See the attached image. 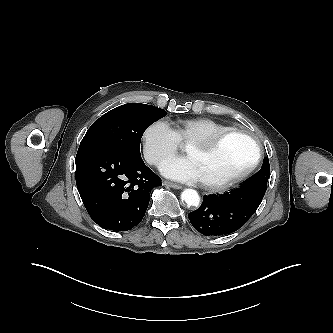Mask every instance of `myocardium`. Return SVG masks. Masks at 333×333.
<instances>
[{
  "mask_svg": "<svg viewBox=\"0 0 333 333\" xmlns=\"http://www.w3.org/2000/svg\"><path fill=\"white\" fill-rule=\"evenodd\" d=\"M231 135L243 136L251 142V144L254 148L253 159L248 164V166L245 167L242 171H240L236 175H234L224 181H220V182L201 181L202 186L209 191L218 192V191H224V190L231 188L235 184L241 182L246 177H248L254 171V169L257 167V165L260 162L261 147H260L257 139L251 133L244 131V130L236 129V128L228 129L226 131L220 132V133L215 134L208 138L194 140V141L190 142L188 144V146H194L203 151H211V150L215 149L224 139H226L227 137H229Z\"/></svg>",
  "mask_w": 333,
  "mask_h": 333,
  "instance_id": "f54148a6",
  "label": "myocardium"
}]
</instances>
